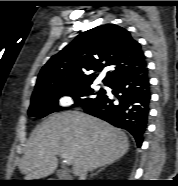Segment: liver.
Segmentation results:
<instances>
[{
    "label": "liver",
    "instance_id": "6515ba94",
    "mask_svg": "<svg viewBox=\"0 0 178 186\" xmlns=\"http://www.w3.org/2000/svg\"><path fill=\"white\" fill-rule=\"evenodd\" d=\"M128 149L122 130L79 111H64L37 128L18 167L26 180H38L54 173L57 155L64 154L72 159L73 174L81 176L120 159Z\"/></svg>",
    "mask_w": 178,
    "mask_h": 186
}]
</instances>
